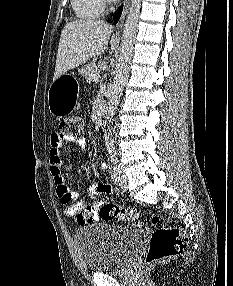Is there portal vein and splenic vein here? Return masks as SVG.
Instances as JSON below:
<instances>
[{"label":"portal vein and splenic vein","instance_id":"18ae733b","mask_svg":"<svg viewBox=\"0 0 233 286\" xmlns=\"http://www.w3.org/2000/svg\"><path fill=\"white\" fill-rule=\"evenodd\" d=\"M99 74H93L92 75V78L95 80V81H98V79H99Z\"/></svg>","mask_w":233,"mask_h":286}]
</instances>
